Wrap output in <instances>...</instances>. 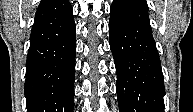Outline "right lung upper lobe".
I'll list each match as a JSON object with an SVG mask.
<instances>
[{
    "instance_id": "cb5924a9",
    "label": "right lung upper lobe",
    "mask_w": 193,
    "mask_h": 112,
    "mask_svg": "<svg viewBox=\"0 0 193 112\" xmlns=\"http://www.w3.org/2000/svg\"><path fill=\"white\" fill-rule=\"evenodd\" d=\"M48 1H49V0H41L39 6L42 5V4H44V3H46V2H48Z\"/></svg>"
}]
</instances>
